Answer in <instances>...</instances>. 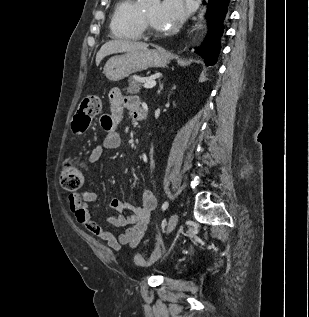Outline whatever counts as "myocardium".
<instances>
[{
	"mask_svg": "<svg viewBox=\"0 0 309 317\" xmlns=\"http://www.w3.org/2000/svg\"><path fill=\"white\" fill-rule=\"evenodd\" d=\"M141 23L144 28V31H146L148 34H151L153 36L160 35V31L156 30L151 23L149 22L148 18L146 17L145 13L141 11Z\"/></svg>",
	"mask_w": 309,
	"mask_h": 317,
	"instance_id": "1",
	"label": "myocardium"
}]
</instances>
